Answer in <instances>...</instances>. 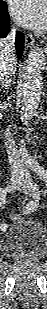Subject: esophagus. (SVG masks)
<instances>
[{
  "mask_svg": "<svg viewBox=\"0 0 47 309\" xmlns=\"http://www.w3.org/2000/svg\"><path fill=\"white\" fill-rule=\"evenodd\" d=\"M35 40L32 34L25 35V46L26 49H31L34 46Z\"/></svg>",
  "mask_w": 47,
  "mask_h": 309,
  "instance_id": "34e87169",
  "label": "esophagus"
}]
</instances>
